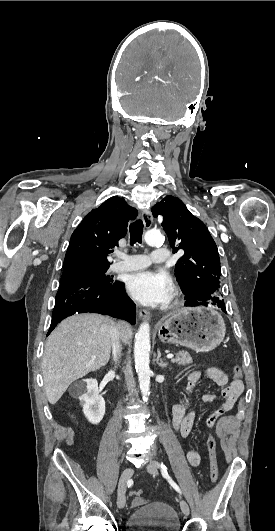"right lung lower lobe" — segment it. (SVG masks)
<instances>
[{
	"label": "right lung lower lobe",
	"mask_w": 275,
	"mask_h": 531,
	"mask_svg": "<svg viewBox=\"0 0 275 531\" xmlns=\"http://www.w3.org/2000/svg\"><path fill=\"white\" fill-rule=\"evenodd\" d=\"M136 306L122 282L100 283L83 276L61 279L47 336L64 318L75 313H100L135 324Z\"/></svg>",
	"instance_id": "obj_1"
}]
</instances>
